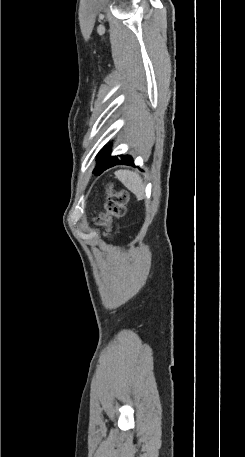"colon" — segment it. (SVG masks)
<instances>
[{
    "label": "colon",
    "mask_w": 245,
    "mask_h": 457,
    "mask_svg": "<svg viewBox=\"0 0 245 457\" xmlns=\"http://www.w3.org/2000/svg\"><path fill=\"white\" fill-rule=\"evenodd\" d=\"M127 202V192L117 190L113 187V184L109 183L107 185L105 212L99 218V225L108 231L113 218H121L125 215Z\"/></svg>",
    "instance_id": "colon-1"
}]
</instances>
